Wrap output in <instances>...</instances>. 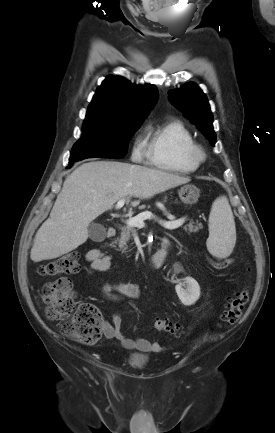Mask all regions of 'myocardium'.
I'll list each match as a JSON object with an SVG mask.
<instances>
[{
    "instance_id": "myocardium-1",
    "label": "myocardium",
    "mask_w": 275,
    "mask_h": 433,
    "mask_svg": "<svg viewBox=\"0 0 275 433\" xmlns=\"http://www.w3.org/2000/svg\"><path fill=\"white\" fill-rule=\"evenodd\" d=\"M190 157L194 161H196L197 163L200 164L201 162H203L205 160L206 153L201 146L195 145L190 151Z\"/></svg>"
}]
</instances>
